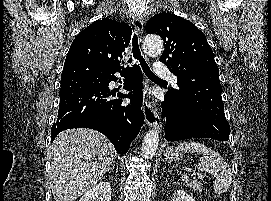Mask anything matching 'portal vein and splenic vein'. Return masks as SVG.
Here are the masks:
<instances>
[{"label": "portal vein and splenic vein", "instance_id": "obj_1", "mask_svg": "<svg viewBox=\"0 0 271 201\" xmlns=\"http://www.w3.org/2000/svg\"><path fill=\"white\" fill-rule=\"evenodd\" d=\"M198 179H204L205 177L202 174H198Z\"/></svg>", "mask_w": 271, "mask_h": 201}]
</instances>
